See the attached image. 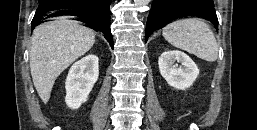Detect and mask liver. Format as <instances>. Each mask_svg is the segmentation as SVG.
<instances>
[{
    "instance_id": "6515ba94",
    "label": "liver",
    "mask_w": 257,
    "mask_h": 130,
    "mask_svg": "<svg viewBox=\"0 0 257 130\" xmlns=\"http://www.w3.org/2000/svg\"><path fill=\"white\" fill-rule=\"evenodd\" d=\"M95 34L68 17L38 26L32 35L30 69L34 86L46 104L56 78L75 60L88 52Z\"/></svg>"
}]
</instances>
